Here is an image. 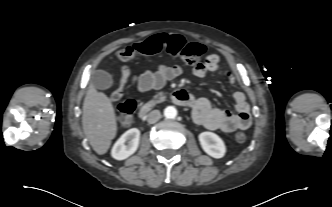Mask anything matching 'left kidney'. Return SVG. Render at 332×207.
Returning a JSON list of instances; mask_svg holds the SVG:
<instances>
[{
    "instance_id": "1",
    "label": "left kidney",
    "mask_w": 332,
    "mask_h": 207,
    "mask_svg": "<svg viewBox=\"0 0 332 207\" xmlns=\"http://www.w3.org/2000/svg\"><path fill=\"white\" fill-rule=\"evenodd\" d=\"M202 149L213 158H222L226 153L223 140L213 132H202L198 136Z\"/></svg>"
}]
</instances>
